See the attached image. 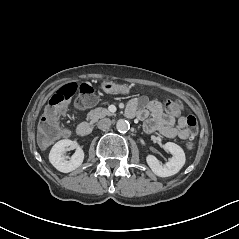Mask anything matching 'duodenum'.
<instances>
[{"mask_svg": "<svg viewBox=\"0 0 239 239\" xmlns=\"http://www.w3.org/2000/svg\"><path fill=\"white\" fill-rule=\"evenodd\" d=\"M92 132V124L89 122H82L77 128V133L81 137L88 136Z\"/></svg>", "mask_w": 239, "mask_h": 239, "instance_id": "duodenum-1", "label": "duodenum"}]
</instances>
